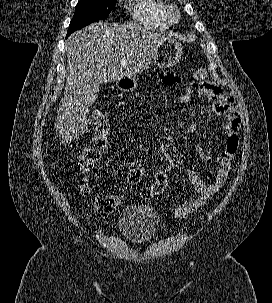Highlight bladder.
I'll use <instances>...</instances> for the list:
<instances>
[{
  "label": "bladder",
  "instance_id": "31cf9c89",
  "mask_svg": "<svg viewBox=\"0 0 272 303\" xmlns=\"http://www.w3.org/2000/svg\"><path fill=\"white\" fill-rule=\"evenodd\" d=\"M118 226L128 241L140 244L156 235L160 228V218L149 206L131 205L123 209Z\"/></svg>",
  "mask_w": 272,
  "mask_h": 303
}]
</instances>
